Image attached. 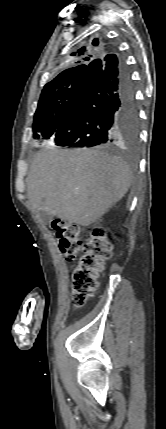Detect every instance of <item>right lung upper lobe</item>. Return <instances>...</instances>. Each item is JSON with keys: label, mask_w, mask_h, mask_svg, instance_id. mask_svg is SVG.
Masks as SVG:
<instances>
[{"label": "right lung upper lobe", "mask_w": 166, "mask_h": 429, "mask_svg": "<svg viewBox=\"0 0 166 429\" xmlns=\"http://www.w3.org/2000/svg\"><path fill=\"white\" fill-rule=\"evenodd\" d=\"M105 48L103 43H98L95 39L92 45L83 46L77 51L73 52L68 58L69 62L74 65L71 68H68L62 71L58 76H56L51 82L47 83L42 92L50 88L52 85L62 81L66 78L75 76V75H84L87 70L88 65L95 59L103 57L108 54H104Z\"/></svg>", "instance_id": "obj_1"}]
</instances>
